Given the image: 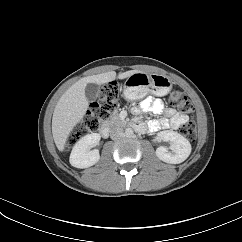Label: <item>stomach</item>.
I'll list each match as a JSON object with an SVG mask.
<instances>
[{
  "mask_svg": "<svg viewBox=\"0 0 242 242\" xmlns=\"http://www.w3.org/2000/svg\"><path fill=\"white\" fill-rule=\"evenodd\" d=\"M172 84V80L166 75L139 71L126 79L124 96L128 100L141 99L149 92L156 96H164L171 91Z\"/></svg>",
  "mask_w": 242,
  "mask_h": 242,
  "instance_id": "1",
  "label": "stomach"
}]
</instances>
